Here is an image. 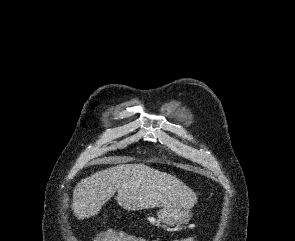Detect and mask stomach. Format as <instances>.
Here are the masks:
<instances>
[{
    "label": "stomach",
    "instance_id": "0dacf381",
    "mask_svg": "<svg viewBox=\"0 0 295 241\" xmlns=\"http://www.w3.org/2000/svg\"><path fill=\"white\" fill-rule=\"evenodd\" d=\"M158 221L169 224L178 225L186 224L192 217L189 209L162 207L157 211Z\"/></svg>",
    "mask_w": 295,
    "mask_h": 241
}]
</instances>
